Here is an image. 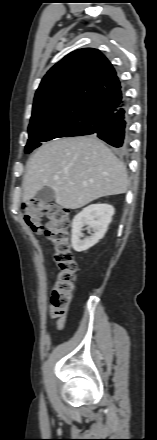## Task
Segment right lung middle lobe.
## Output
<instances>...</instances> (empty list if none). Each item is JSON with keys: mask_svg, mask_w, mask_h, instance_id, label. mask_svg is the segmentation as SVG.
I'll return each instance as SVG.
<instances>
[{"mask_svg": "<svg viewBox=\"0 0 157 440\" xmlns=\"http://www.w3.org/2000/svg\"><path fill=\"white\" fill-rule=\"evenodd\" d=\"M29 139L25 147V152L30 153L39 147L43 142L61 137L88 135L86 124L64 121L37 120L30 122L28 127Z\"/></svg>", "mask_w": 157, "mask_h": 440, "instance_id": "dd1d6c3e", "label": "right lung middle lobe"}]
</instances>
